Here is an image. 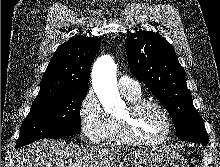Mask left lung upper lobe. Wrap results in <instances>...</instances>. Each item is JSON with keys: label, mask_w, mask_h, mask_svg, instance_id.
Masks as SVG:
<instances>
[{"label": "left lung upper lobe", "mask_w": 220, "mask_h": 167, "mask_svg": "<svg viewBox=\"0 0 220 167\" xmlns=\"http://www.w3.org/2000/svg\"><path fill=\"white\" fill-rule=\"evenodd\" d=\"M125 48L132 73L169 112L180 140L208 141L173 46L158 34L140 31L128 35Z\"/></svg>", "instance_id": "1"}]
</instances>
